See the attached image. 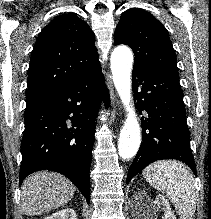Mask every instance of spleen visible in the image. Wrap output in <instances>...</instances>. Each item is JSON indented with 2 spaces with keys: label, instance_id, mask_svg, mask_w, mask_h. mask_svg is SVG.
<instances>
[{
  "label": "spleen",
  "instance_id": "3e777b00",
  "mask_svg": "<svg viewBox=\"0 0 211 219\" xmlns=\"http://www.w3.org/2000/svg\"><path fill=\"white\" fill-rule=\"evenodd\" d=\"M142 175L152 187L169 198L180 219H193L196 189L193 175L186 165L178 161L162 160L149 165Z\"/></svg>",
  "mask_w": 211,
  "mask_h": 219
}]
</instances>
